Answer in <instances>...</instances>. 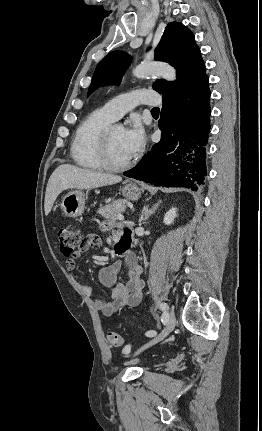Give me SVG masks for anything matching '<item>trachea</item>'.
Returning a JSON list of instances; mask_svg holds the SVG:
<instances>
[{
	"label": "trachea",
	"instance_id": "1",
	"mask_svg": "<svg viewBox=\"0 0 262 431\" xmlns=\"http://www.w3.org/2000/svg\"><path fill=\"white\" fill-rule=\"evenodd\" d=\"M151 112H152V114H154V113L159 114V108L158 107L152 108Z\"/></svg>",
	"mask_w": 262,
	"mask_h": 431
}]
</instances>
